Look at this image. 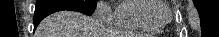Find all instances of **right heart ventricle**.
Instances as JSON below:
<instances>
[{"instance_id": "obj_1", "label": "right heart ventricle", "mask_w": 219, "mask_h": 37, "mask_svg": "<svg viewBox=\"0 0 219 37\" xmlns=\"http://www.w3.org/2000/svg\"><path fill=\"white\" fill-rule=\"evenodd\" d=\"M159 8L153 0H123L115 8L112 24L120 29L158 34L163 25L151 17Z\"/></svg>"}]
</instances>
